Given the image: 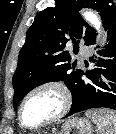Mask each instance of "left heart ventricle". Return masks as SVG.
Returning <instances> with one entry per match:
<instances>
[{
    "mask_svg": "<svg viewBox=\"0 0 116 134\" xmlns=\"http://www.w3.org/2000/svg\"><path fill=\"white\" fill-rule=\"evenodd\" d=\"M60 107L61 97L55 90H41L26 101L23 119L29 125H36L55 115Z\"/></svg>",
    "mask_w": 116,
    "mask_h": 134,
    "instance_id": "left-heart-ventricle-1",
    "label": "left heart ventricle"
}]
</instances>
